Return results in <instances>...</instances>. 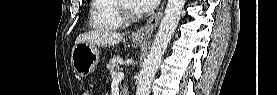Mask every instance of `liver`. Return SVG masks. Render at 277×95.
<instances>
[{
    "label": "liver",
    "mask_w": 277,
    "mask_h": 95,
    "mask_svg": "<svg viewBox=\"0 0 277 95\" xmlns=\"http://www.w3.org/2000/svg\"><path fill=\"white\" fill-rule=\"evenodd\" d=\"M123 39V34L119 32H112L106 30H94L80 34L75 44L80 42H86L90 45L98 46H115Z\"/></svg>",
    "instance_id": "6515ba94"
}]
</instances>
